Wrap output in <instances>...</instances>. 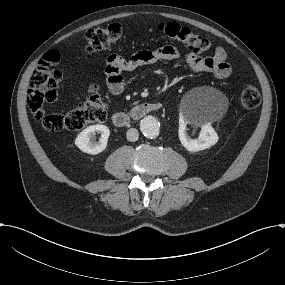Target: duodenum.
<instances>
[{
	"label": "duodenum",
	"mask_w": 285,
	"mask_h": 285,
	"mask_svg": "<svg viewBox=\"0 0 285 285\" xmlns=\"http://www.w3.org/2000/svg\"><path fill=\"white\" fill-rule=\"evenodd\" d=\"M163 109L160 102H142L133 106L129 111H119L112 115V122L119 128H125L151 112H159Z\"/></svg>",
	"instance_id": "1"
}]
</instances>
